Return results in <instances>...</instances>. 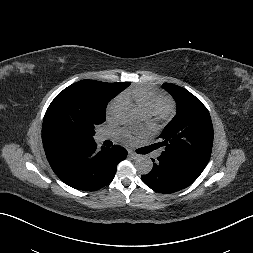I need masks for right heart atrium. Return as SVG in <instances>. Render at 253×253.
I'll use <instances>...</instances> for the list:
<instances>
[{"label":"right heart atrium","instance_id":"d8ad5b80","mask_svg":"<svg viewBox=\"0 0 253 253\" xmlns=\"http://www.w3.org/2000/svg\"><path fill=\"white\" fill-rule=\"evenodd\" d=\"M123 102H124V98L122 96H118L109 103L107 107V112H106L108 119H113L114 117H116Z\"/></svg>","mask_w":253,"mask_h":253}]
</instances>
